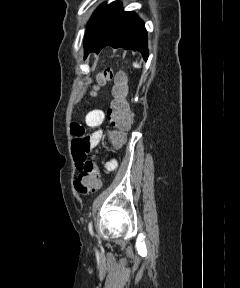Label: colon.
<instances>
[{"label": "colon", "mask_w": 240, "mask_h": 288, "mask_svg": "<svg viewBox=\"0 0 240 288\" xmlns=\"http://www.w3.org/2000/svg\"><path fill=\"white\" fill-rule=\"evenodd\" d=\"M108 79L115 80L112 91L113 100L107 112V118L113 127L111 132L116 143L122 139L121 131L129 128L132 123V112L126 101V80L122 73H113L110 70L104 71L100 76V81ZM75 189L82 195H89L100 188L98 171L93 160H86L82 166L81 173L74 183Z\"/></svg>", "instance_id": "obj_1"}]
</instances>
